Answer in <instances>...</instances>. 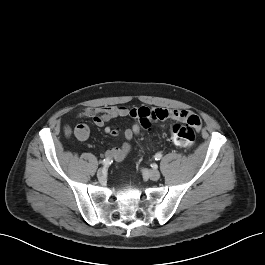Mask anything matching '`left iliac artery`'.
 <instances>
[{"label": "left iliac artery", "mask_w": 265, "mask_h": 265, "mask_svg": "<svg viewBox=\"0 0 265 265\" xmlns=\"http://www.w3.org/2000/svg\"><path fill=\"white\" fill-rule=\"evenodd\" d=\"M155 160H160L162 158V154L161 153H157L155 156H154Z\"/></svg>", "instance_id": "44dca946"}]
</instances>
